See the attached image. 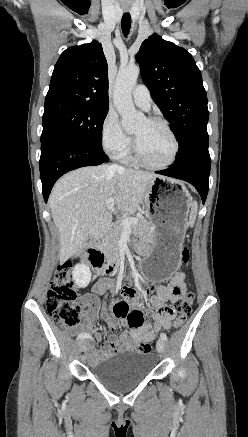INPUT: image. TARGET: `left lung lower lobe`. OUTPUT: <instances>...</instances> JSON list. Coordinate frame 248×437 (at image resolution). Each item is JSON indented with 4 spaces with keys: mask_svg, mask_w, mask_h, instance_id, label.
Wrapping results in <instances>:
<instances>
[{
    "mask_svg": "<svg viewBox=\"0 0 248 437\" xmlns=\"http://www.w3.org/2000/svg\"><path fill=\"white\" fill-rule=\"evenodd\" d=\"M208 135L198 138L194 144L168 169L156 173L185 180L199 192L205 203L208 187L211 159L208 151Z\"/></svg>",
    "mask_w": 248,
    "mask_h": 437,
    "instance_id": "1",
    "label": "left lung lower lobe"
}]
</instances>
